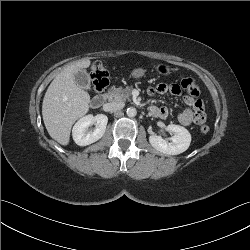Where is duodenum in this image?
Wrapping results in <instances>:
<instances>
[{
  "instance_id": "obj_1",
  "label": "duodenum",
  "mask_w": 250,
  "mask_h": 250,
  "mask_svg": "<svg viewBox=\"0 0 250 250\" xmlns=\"http://www.w3.org/2000/svg\"><path fill=\"white\" fill-rule=\"evenodd\" d=\"M106 101V96L104 94H99L93 97L91 101V106L93 108L101 107Z\"/></svg>"
}]
</instances>
